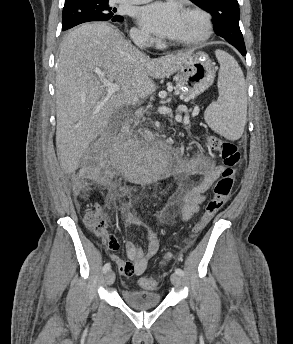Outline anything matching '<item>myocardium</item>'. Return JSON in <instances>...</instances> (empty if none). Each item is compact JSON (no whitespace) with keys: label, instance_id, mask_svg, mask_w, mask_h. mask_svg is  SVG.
<instances>
[{"label":"myocardium","instance_id":"myocardium-1","mask_svg":"<svg viewBox=\"0 0 293 344\" xmlns=\"http://www.w3.org/2000/svg\"><path fill=\"white\" fill-rule=\"evenodd\" d=\"M183 13L197 16L201 23V31L195 37L186 40L172 41L171 45L178 47H191L207 41L213 32V23L210 14L204 9L196 6L185 8Z\"/></svg>","mask_w":293,"mask_h":344}]
</instances>
